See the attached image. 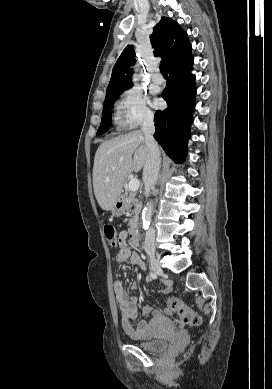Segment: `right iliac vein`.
I'll return each instance as SVG.
<instances>
[{
    "label": "right iliac vein",
    "instance_id": "63e3f726",
    "mask_svg": "<svg viewBox=\"0 0 272 389\" xmlns=\"http://www.w3.org/2000/svg\"><path fill=\"white\" fill-rule=\"evenodd\" d=\"M149 263H150V269L152 272L159 274V275L163 273V269H162L161 265L159 264V262L157 261L155 254H153V253L149 254Z\"/></svg>",
    "mask_w": 272,
    "mask_h": 389
}]
</instances>
